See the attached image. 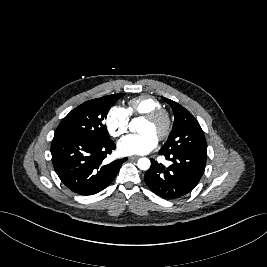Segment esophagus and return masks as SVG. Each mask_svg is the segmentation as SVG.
I'll list each match as a JSON object with an SVG mask.
<instances>
[{
  "instance_id": "esophagus-1",
  "label": "esophagus",
  "mask_w": 267,
  "mask_h": 267,
  "mask_svg": "<svg viewBox=\"0 0 267 267\" xmlns=\"http://www.w3.org/2000/svg\"><path fill=\"white\" fill-rule=\"evenodd\" d=\"M138 158H139V156H131V157H129V160L134 161V160H137Z\"/></svg>"
}]
</instances>
